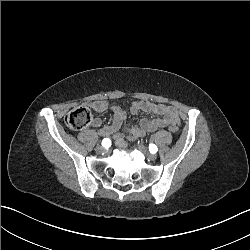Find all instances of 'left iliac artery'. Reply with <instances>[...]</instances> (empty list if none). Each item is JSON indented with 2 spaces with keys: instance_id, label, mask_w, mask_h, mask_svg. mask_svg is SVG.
I'll list each match as a JSON object with an SVG mask.
<instances>
[{
  "instance_id": "44dca946",
  "label": "left iliac artery",
  "mask_w": 250,
  "mask_h": 250,
  "mask_svg": "<svg viewBox=\"0 0 250 250\" xmlns=\"http://www.w3.org/2000/svg\"><path fill=\"white\" fill-rule=\"evenodd\" d=\"M157 150H158V148H157V146L155 145V144H149V151L151 152V153H156L157 152Z\"/></svg>"
}]
</instances>
